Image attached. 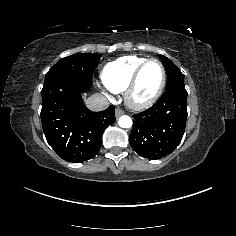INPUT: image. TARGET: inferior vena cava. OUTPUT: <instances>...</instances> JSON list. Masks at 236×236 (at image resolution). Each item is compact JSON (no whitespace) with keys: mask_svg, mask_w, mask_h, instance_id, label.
Instances as JSON below:
<instances>
[{"mask_svg":"<svg viewBox=\"0 0 236 236\" xmlns=\"http://www.w3.org/2000/svg\"><path fill=\"white\" fill-rule=\"evenodd\" d=\"M86 106L93 111H101L109 106V101L103 94H94L86 100Z\"/></svg>","mask_w":236,"mask_h":236,"instance_id":"602c4592","label":"inferior vena cava"}]
</instances>
